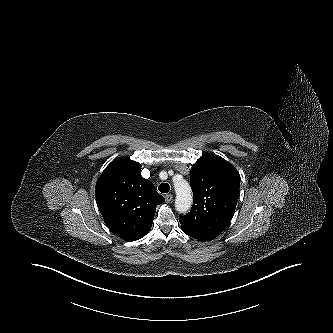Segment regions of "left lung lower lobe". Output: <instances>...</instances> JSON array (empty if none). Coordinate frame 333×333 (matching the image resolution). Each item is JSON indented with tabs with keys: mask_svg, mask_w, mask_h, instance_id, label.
Masks as SVG:
<instances>
[{
	"mask_svg": "<svg viewBox=\"0 0 333 333\" xmlns=\"http://www.w3.org/2000/svg\"><path fill=\"white\" fill-rule=\"evenodd\" d=\"M187 235H189V236H191V237H193V238H195V239H200V240H207V239H205V238H202L201 236H199V235H196V234H194V233H191V232H188V231H186V230H184V229H182Z\"/></svg>",
	"mask_w": 333,
	"mask_h": 333,
	"instance_id": "obj_1",
	"label": "left lung lower lobe"
}]
</instances>
